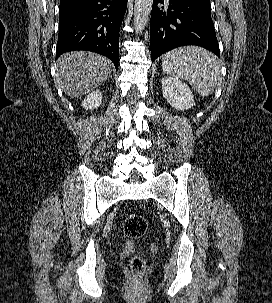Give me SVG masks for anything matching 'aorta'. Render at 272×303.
<instances>
[{"label":"aorta","instance_id":"aorta-1","mask_svg":"<svg viewBox=\"0 0 272 303\" xmlns=\"http://www.w3.org/2000/svg\"><path fill=\"white\" fill-rule=\"evenodd\" d=\"M153 0H135L133 25L136 32L145 29L152 11Z\"/></svg>","mask_w":272,"mask_h":303}]
</instances>
